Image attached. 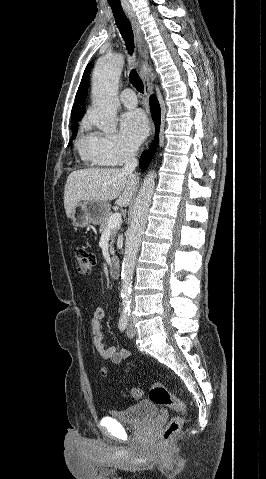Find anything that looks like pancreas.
Listing matches in <instances>:
<instances>
[{
  "label": "pancreas",
  "instance_id": "1",
  "mask_svg": "<svg viewBox=\"0 0 266 479\" xmlns=\"http://www.w3.org/2000/svg\"><path fill=\"white\" fill-rule=\"evenodd\" d=\"M112 216V213H109L105 218L104 220L101 222L100 224V228H99V231L101 233H103L106 228H107V224H108V220L110 219V217ZM119 230V227H116V228H113V229H110V252L111 254H114V242H115V236H116V233L117 231Z\"/></svg>",
  "mask_w": 266,
  "mask_h": 479
}]
</instances>
